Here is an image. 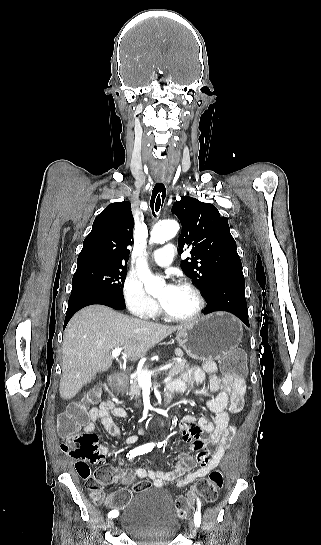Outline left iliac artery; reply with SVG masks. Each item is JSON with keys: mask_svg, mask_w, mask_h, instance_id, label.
<instances>
[{"mask_svg": "<svg viewBox=\"0 0 321 545\" xmlns=\"http://www.w3.org/2000/svg\"><path fill=\"white\" fill-rule=\"evenodd\" d=\"M200 503L198 504V510L196 511L195 515H194V522H195V525L196 526H200L201 524V512H200Z\"/></svg>", "mask_w": 321, "mask_h": 545, "instance_id": "obj_1", "label": "left iliac artery"}]
</instances>
